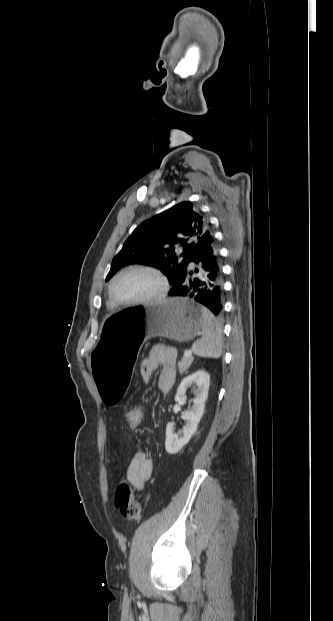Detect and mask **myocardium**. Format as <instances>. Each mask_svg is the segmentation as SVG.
<instances>
[{
	"label": "myocardium",
	"instance_id": "obj_1",
	"mask_svg": "<svg viewBox=\"0 0 333 621\" xmlns=\"http://www.w3.org/2000/svg\"><path fill=\"white\" fill-rule=\"evenodd\" d=\"M134 271H143V272H148V273L155 275L161 284V288L157 294H155L154 296L148 297V298L133 300V301H121L114 294V291H113L114 284L121 276L127 273H130V272H134ZM168 291H169V282L167 280V277L164 275V273L160 269L154 266L144 265V264L129 266L121 270L118 274H116L113 277V279L110 281L109 286H108V294H109L110 300L112 301L114 305L122 306V307L146 305V304H152V303L159 302L167 296Z\"/></svg>",
	"mask_w": 333,
	"mask_h": 621
}]
</instances>
